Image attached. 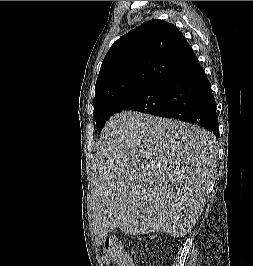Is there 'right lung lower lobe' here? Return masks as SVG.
<instances>
[{"label":"right lung lower lobe","mask_w":253,"mask_h":266,"mask_svg":"<svg viewBox=\"0 0 253 266\" xmlns=\"http://www.w3.org/2000/svg\"><path fill=\"white\" fill-rule=\"evenodd\" d=\"M156 116L199 125L218 137L215 98L198 60L170 80L163 109Z\"/></svg>","instance_id":"98d812e1"}]
</instances>
